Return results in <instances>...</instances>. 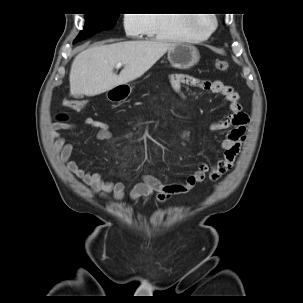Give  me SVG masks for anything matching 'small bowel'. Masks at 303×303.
Segmentation results:
<instances>
[{"mask_svg": "<svg viewBox=\"0 0 303 303\" xmlns=\"http://www.w3.org/2000/svg\"><path fill=\"white\" fill-rule=\"evenodd\" d=\"M169 82L172 89L181 98L185 97L182 92L184 85L200 90H208L222 96L228 105L231 115L225 119L214 121L209 125V129L213 131L229 130L221 142L222 156L212 165L206 162L200 163L199 169L187 177L184 182L163 183L153 175H144L143 181L136 184L130 193L132 200L148 199L153 196L156 202L164 203L174 196L189 192L196 183L204 181L206 175L212 181L218 180L233 166L246 137L249 118L242 112L239 93L232 86L219 80L213 82L201 81L184 73L171 74ZM84 122L89 127L97 130L98 139L109 140L114 137L107 123L91 117L86 118ZM73 128L74 126L69 123H60L50 129L49 136L52 140L53 148L62 163L100 198L116 202L123 200L125 185L122 182L105 180L101 174L84 170L72 159L73 145L67 143L59 134L61 131Z\"/></svg>", "mask_w": 303, "mask_h": 303, "instance_id": "c3829d8e", "label": "small bowel"}]
</instances>
